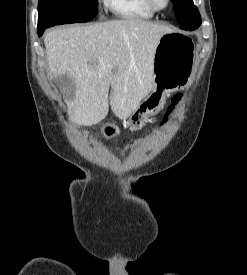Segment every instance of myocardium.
I'll return each mask as SVG.
<instances>
[{
    "mask_svg": "<svg viewBox=\"0 0 247 275\" xmlns=\"http://www.w3.org/2000/svg\"><path fill=\"white\" fill-rule=\"evenodd\" d=\"M146 3L153 11L161 12V11L166 10L170 6L171 0H166V3L163 7H159L156 4L155 0H146Z\"/></svg>",
    "mask_w": 247,
    "mask_h": 275,
    "instance_id": "1",
    "label": "myocardium"
}]
</instances>
